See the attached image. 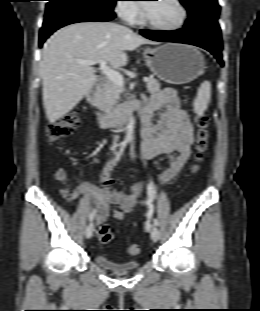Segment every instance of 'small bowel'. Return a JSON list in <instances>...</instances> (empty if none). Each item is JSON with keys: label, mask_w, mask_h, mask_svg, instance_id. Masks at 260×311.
Here are the masks:
<instances>
[{"label": "small bowel", "mask_w": 260, "mask_h": 311, "mask_svg": "<svg viewBox=\"0 0 260 311\" xmlns=\"http://www.w3.org/2000/svg\"><path fill=\"white\" fill-rule=\"evenodd\" d=\"M160 109L162 113L159 119L152 123L151 113ZM141 119L143 143L138 156L143 162L157 156H166L168 162L160 181L167 183L182 170L191 155V146L195 138L189 116L181 107L176 91L166 88L154 94L143 106ZM127 155L129 152H122L118 161ZM110 170V167L107 168L102 177V184L105 188L83 183L76 189H72L67 172L63 168L55 171L54 179L62 184L61 194L68 201L83 194H90L94 197L98 206V212L95 215L96 224H101L107 219L111 206H114L113 217L120 221L126 214L132 212L144 185L137 184L132 194L117 191L113 188L115 181L110 176Z\"/></svg>", "instance_id": "c3829d8e"}]
</instances>
